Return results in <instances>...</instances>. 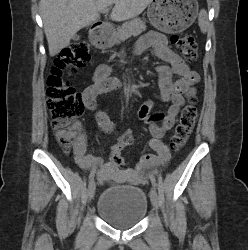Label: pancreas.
Here are the masks:
<instances>
[{
  "label": "pancreas",
  "mask_w": 248,
  "mask_h": 250,
  "mask_svg": "<svg viewBox=\"0 0 248 250\" xmlns=\"http://www.w3.org/2000/svg\"><path fill=\"white\" fill-rule=\"evenodd\" d=\"M146 30V25L140 18H135L130 21L123 23L114 31L112 34L114 43L118 44L120 41H124L130 36L140 35Z\"/></svg>",
  "instance_id": "cf45deb5"
}]
</instances>
